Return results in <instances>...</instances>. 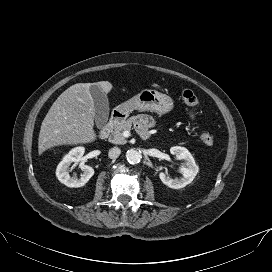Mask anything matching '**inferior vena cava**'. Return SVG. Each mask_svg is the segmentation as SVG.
<instances>
[{
  "label": "inferior vena cava",
  "instance_id": "obj_1",
  "mask_svg": "<svg viewBox=\"0 0 272 272\" xmlns=\"http://www.w3.org/2000/svg\"><path fill=\"white\" fill-rule=\"evenodd\" d=\"M121 154V150L118 147H113L109 150L108 156L111 159H116Z\"/></svg>",
  "mask_w": 272,
  "mask_h": 272
}]
</instances>
